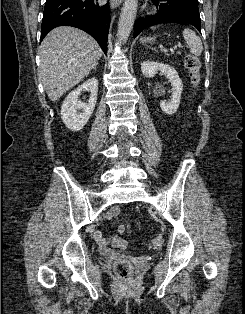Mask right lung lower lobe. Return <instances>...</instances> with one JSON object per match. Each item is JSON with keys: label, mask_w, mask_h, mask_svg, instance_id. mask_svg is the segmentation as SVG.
Masks as SVG:
<instances>
[{"label": "right lung lower lobe", "mask_w": 245, "mask_h": 314, "mask_svg": "<svg viewBox=\"0 0 245 314\" xmlns=\"http://www.w3.org/2000/svg\"><path fill=\"white\" fill-rule=\"evenodd\" d=\"M109 25L108 4L100 5L97 0H46L40 40L57 26H72L92 35L106 53Z\"/></svg>", "instance_id": "1"}]
</instances>
